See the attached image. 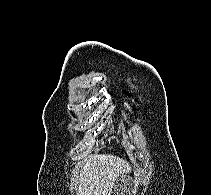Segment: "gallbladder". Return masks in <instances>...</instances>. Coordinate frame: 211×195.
<instances>
[{"label":"gallbladder","instance_id":"1","mask_svg":"<svg viewBox=\"0 0 211 195\" xmlns=\"http://www.w3.org/2000/svg\"><path fill=\"white\" fill-rule=\"evenodd\" d=\"M121 181H122V179L118 180L116 190H118L119 192H122L123 195H127L129 190L127 189V187H124V185H120ZM125 182H126V180H125Z\"/></svg>","mask_w":211,"mask_h":195}]
</instances>
